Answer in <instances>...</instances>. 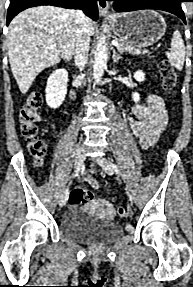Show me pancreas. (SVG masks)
Returning <instances> with one entry per match:
<instances>
[{
    "label": "pancreas",
    "mask_w": 193,
    "mask_h": 287,
    "mask_svg": "<svg viewBox=\"0 0 193 287\" xmlns=\"http://www.w3.org/2000/svg\"><path fill=\"white\" fill-rule=\"evenodd\" d=\"M116 41L118 42V46H116V47L120 53L127 51V52L132 53V54L142 55V54H145L147 52L146 50L141 51V50L133 47L132 45L128 44L123 39H116Z\"/></svg>",
    "instance_id": "1"
}]
</instances>
